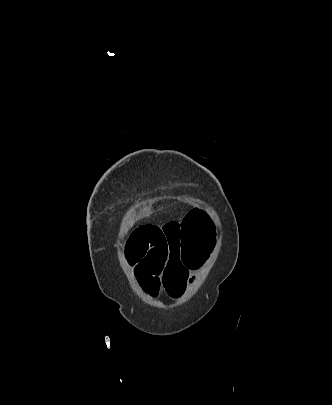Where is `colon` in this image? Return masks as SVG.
I'll return each mask as SVG.
<instances>
[{
    "instance_id": "obj_1",
    "label": "colon",
    "mask_w": 332,
    "mask_h": 405,
    "mask_svg": "<svg viewBox=\"0 0 332 405\" xmlns=\"http://www.w3.org/2000/svg\"><path fill=\"white\" fill-rule=\"evenodd\" d=\"M191 220H181L180 262L188 268H203L206 257H211L216 247L214 221L206 220V211H191Z\"/></svg>"
}]
</instances>
